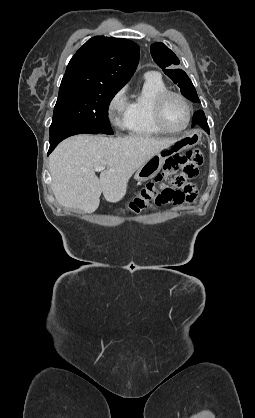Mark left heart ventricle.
Returning <instances> with one entry per match:
<instances>
[{"label":"left heart ventricle","mask_w":255,"mask_h":418,"mask_svg":"<svg viewBox=\"0 0 255 418\" xmlns=\"http://www.w3.org/2000/svg\"><path fill=\"white\" fill-rule=\"evenodd\" d=\"M187 120V109L184 103L176 98L170 97L164 106V121L169 128L179 129L184 126Z\"/></svg>","instance_id":"left-heart-ventricle-1"}]
</instances>
